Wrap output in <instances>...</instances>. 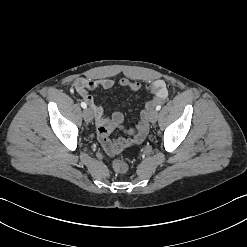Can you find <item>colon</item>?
Segmentation results:
<instances>
[{"mask_svg":"<svg viewBox=\"0 0 247 247\" xmlns=\"http://www.w3.org/2000/svg\"><path fill=\"white\" fill-rule=\"evenodd\" d=\"M105 132L101 131L100 135L101 137H104ZM128 164L126 161L122 160V159H116L113 161V169L115 172L119 173V174H123L126 173L128 171Z\"/></svg>","mask_w":247,"mask_h":247,"instance_id":"5ec220e1","label":"colon"}]
</instances>
